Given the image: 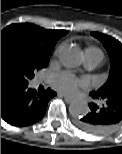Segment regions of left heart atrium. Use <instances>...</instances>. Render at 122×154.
Listing matches in <instances>:
<instances>
[{"mask_svg":"<svg viewBox=\"0 0 122 154\" xmlns=\"http://www.w3.org/2000/svg\"><path fill=\"white\" fill-rule=\"evenodd\" d=\"M54 87L62 93L74 95L80 88L86 86V82L76 78L67 72H62L54 76Z\"/></svg>","mask_w":122,"mask_h":154,"instance_id":"obj_1","label":"left heart atrium"}]
</instances>
